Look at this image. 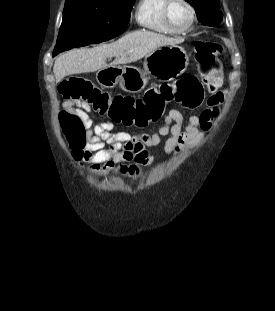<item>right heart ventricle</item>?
Masks as SVG:
<instances>
[{
    "label": "right heart ventricle",
    "instance_id": "right-heart-ventricle-1",
    "mask_svg": "<svg viewBox=\"0 0 275 311\" xmlns=\"http://www.w3.org/2000/svg\"><path fill=\"white\" fill-rule=\"evenodd\" d=\"M167 0H139L135 10V21L139 27L151 32L175 34L165 23L163 9Z\"/></svg>",
    "mask_w": 275,
    "mask_h": 311
}]
</instances>
